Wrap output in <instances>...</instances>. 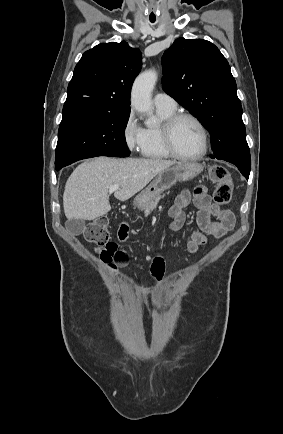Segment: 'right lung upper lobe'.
Listing matches in <instances>:
<instances>
[{
  "instance_id": "obj_1",
  "label": "right lung upper lobe",
  "mask_w": 283,
  "mask_h": 434,
  "mask_svg": "<svg viewBox=\"0 0 283 434\" xmlns=\"http://www.w3.org/2000/svg\"><path fill=\"white\" fill-rule=\"evenodd\" d=\"M141 65L140 50L125 41L101 43L86 51L68 85L63 118L130 111L129 95Z\"/></svg>"
}]
</instances>
